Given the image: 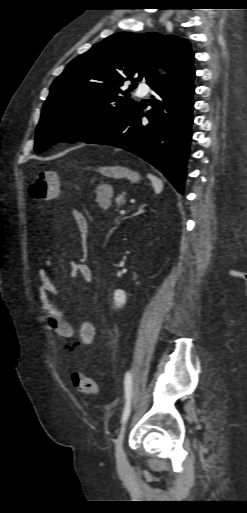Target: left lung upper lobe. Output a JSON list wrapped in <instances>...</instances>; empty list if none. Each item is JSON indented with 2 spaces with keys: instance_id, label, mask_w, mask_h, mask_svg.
<instances>
[{
  "instance_id": "1",
  "label": "left lung upper lobe",
  "mask_w": 247,
  "mask_h": 513,
  "mask_svg": "<svg viewBox=\"0 0 247 513\" xmlns=\"http://www.w3.org/2000/svg\"><path fill=\"white\" fill-rule=\"evenodd\" d=\"M193 56L187 40L154 32L116 33L95 44L51 85L35 133V151L58 142H85L107 131L139 105L123 91L126 80L136 86L134 78H145L151 87ZM156 68L169 74L159 75Z\"/></svg>"
}]
</instances>
